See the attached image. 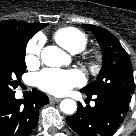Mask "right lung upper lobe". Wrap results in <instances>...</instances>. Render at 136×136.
Listing matches in <instances>:
<instances>
[{"label":"right lung upper lobe","mask_w":136,"mask_h":136,"mask_svg":"<svg viewBox=\"0 0 136 136\" xmlns=\"http://www.w3.org/2000/svg\"><path fill=\"white\" fill-rule=\"evenodd\" d=\"M44 25L10 20L2 21L0 22V36L7 37L15 31L33 36L37 31L44 28Z\"/></svg>","instance_id":"cb5924a9"}]
</instances>
